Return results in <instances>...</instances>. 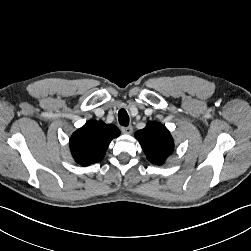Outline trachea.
I'll return each mask as SVG.
<instances>
[{
	"mask_svg": "<svg viewBox=\"0 0 251 251\" xmlns=\"http://www.w3.org/2000/svg\"><path fill=\"white\" fill-rule=\"evenodd\" d=\"M118 120L119 124L122 126H128L129 125V116L125 109H120L118 112Z\"/></svg>",
	"mask_w": 251,
	"mask_h": 251,
	"instance_id": "1",
	"label": "trachea"
}]
</instances>
